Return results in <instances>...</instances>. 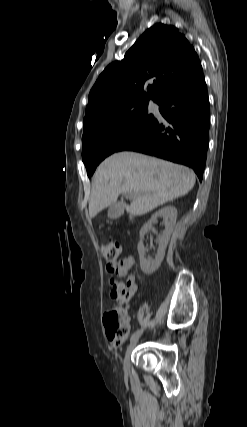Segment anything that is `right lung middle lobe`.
Listing matches in <instances>:
<instances>
[{
  "label": "right lung middle lobe",
  "instance_id": "obj_1",
  "mask_svg": "<svg viewBox=\"0 0 247 427\" xmlns=\"http://www.w3.org/2000/svg\"><path fill=\"white\" fill-rule=\"evenodd\" d=\"M153 119L147 104L123 109L112 117L84 129L82 160L90 178L97 165L117 152L125 143L138 135Z\"/></svg>",
  "mask_w": 247,
  "mask_h": 427
}]
</instances>
